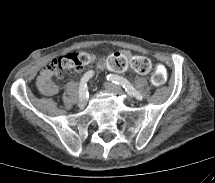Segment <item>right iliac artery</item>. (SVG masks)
Listing matches in <instances>:
<instances>
[{
	"mask_svg": "<svg viewBox=\"0 0 215 183\" xmlns=\"http://www.w3.org/2000/svg\"><path fill=\"white\" fill-rule=\"evenodd\" d=\"M94 75V71L90 70L86 72L80 81L79 98H85L88 95V88L86 82Z\"/></svg>",
	"mask_w": 215,
	"mask_h": 183,
	"instance_id": "1",
	"label": "right iliac artery"
}]
</instances>
